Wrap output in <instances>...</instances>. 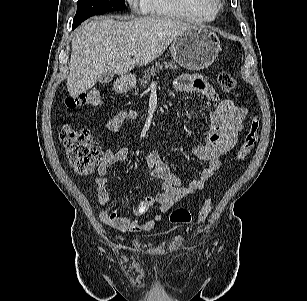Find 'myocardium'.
<instances>
[{
    "label": "myocardium",
    "mask_w": 307,
    "mask_h": 301,
    "mask_svg": "<svg viewBox=\"0 0 307 301\" xmlns=\"http://www.w3.org/2000/svg\"><path fill=\"white\" fill-rule=\"evenodd\" d=\"M201 2L215 8L217 11L222 8V0H200Z\"/></svg>",
    "instance_id": "obj_1"
}]
</instances>
